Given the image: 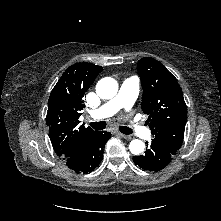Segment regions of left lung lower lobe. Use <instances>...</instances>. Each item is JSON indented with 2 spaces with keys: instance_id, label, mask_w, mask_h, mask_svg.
<instances>
[{
  "instance_id": "left-lung-lower-lobe-1",
  "label": "left lung lower lobe",
  "mask_w": 221,
  "mask_h": 221,
  "mask_svg": "<svg viewBox=\"0 0 221 221\" xmlns=\"http://www.w3.org/2000/svg\"><path fill=\"white\" fill-rule=\"evenodd\" d=\"M148 149L144 155L134 156L133 161L144 170L159 171L165 168L172 160L175 154L162 150L155 145L147 144Z\"/></svg>"
}]
</instances>
